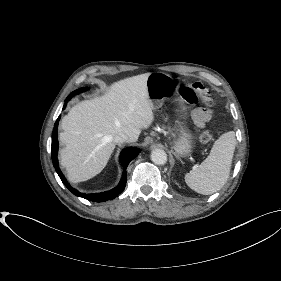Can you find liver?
<instances>
[{
	"mask_svg": "<svg viewBox=\"0 0 281 281\" xmlns=\"http://www.w3.org/2000/svg\"><path fill=\"white\" fill-rule=\"evenodd\" d=\"M145 73L112 84L107 92L73 106L61 122V164L77 183L99 174L115 149V135L125 133L136 142L141 129L154 119Z\"/></svg>",
	"mask_w": 281,
	"mask_h": 281,
	"instance_id": "1",
	"label": "liver"
}]
</instances>
